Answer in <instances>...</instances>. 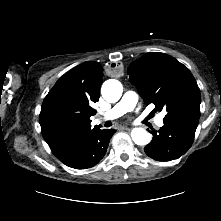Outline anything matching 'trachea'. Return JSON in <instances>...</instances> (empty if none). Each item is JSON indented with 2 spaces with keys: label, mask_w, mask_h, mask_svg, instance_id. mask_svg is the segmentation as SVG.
<instances>
[{
  "label": "trachea",
  "mask_w": 221,
  "mask_h": 221,
  "mask_svg": "<svg viewBox=\"0 0 221 221\" xmlns=\"http://www.w3.org/2000/svg\"><path fill=\"white\" fill-rule=\"evenodd\" d=\"M152 116H153V114H150V115H149V117H152Z\"/></svg>",
  "instance_id": "3493384b"
}]
</instances>
